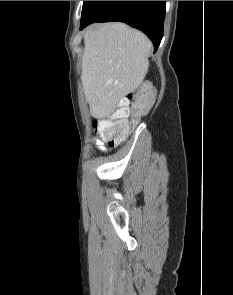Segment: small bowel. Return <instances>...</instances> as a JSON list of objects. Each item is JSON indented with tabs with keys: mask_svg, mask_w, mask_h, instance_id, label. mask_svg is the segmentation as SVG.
Masks as SVG:
<instances>
[{
	"mask_svg": "<svg viewBox=\"0 0 233 295\" xmlns=\"http://www.w3.org/2000/svg\"><path fill=\"white\" fill-rule=\"evenodd\" d=\"M94 143L96 145V149H98L101 152H106V147L104 146V143L99 139H94Z\"/></svg>",
	"mask_w": 233,
	"mask_h": 295,
	"instance_id": "small-bowel-1",
	"label": "small bowel"
}]
</instances>
